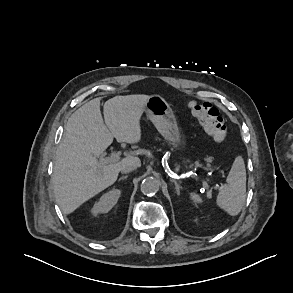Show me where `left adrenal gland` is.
I'll return each mask as SVG.
<instances>
[{
	"label": "left adrenal gland",
	"instance_id": "a2214340",
	"mask_svg": "<svg viewBox=\"0 0 293 293\" xmlns=\"http://www.w3.org/2000/svg\"><path fill=\"white\" fill-rule=\"evenodd\" d=\"M174 184H175V189H176V193L179 196L180 195V185L175 181V180H171Z\"/></svg>",
	"mask_w": 293,
	"mask_h": 293
}]
</instances>
